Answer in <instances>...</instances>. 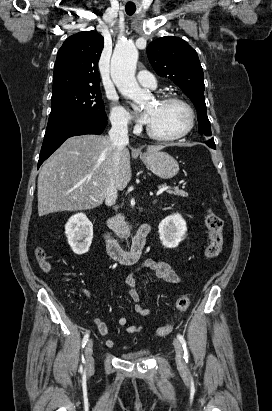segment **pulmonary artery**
<instances>
[{"label":"pulmonary artery","instance_id":"pulmonary-artery-1","mask_svg":"<svg viewBox=\"0 0 272 411\" xmlns=\"http://www.w3.org/2000/svg\"><path fill=\"white\" fill-rule=\"evenodd\" d=\"M137 79L138 82L144 87L154 89L157 86L154 76L146 70L139 71L137 74Z\"/></svg>","mask_w":272,"mask_h":411}]
</instances>
